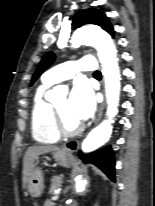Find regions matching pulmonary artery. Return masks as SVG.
Here are the masks:
<instances>
[{"label":"pulmonary artery","mask_w":155,"mask_h":206,"mask_svg":"<svg viewBox=\"0 0 155 206\" xmlns=\"http://www.w3.org/2000/svg\"><path fill=\"white\" fill-rule=\"evenodd\" d=\"M96 68L95 58L83 57L56 65L43 75V80L49 84H54L72 78L79 71H95Z\"/></svg>","instance_id":"obj_1"}]
</instances>
